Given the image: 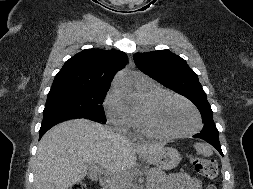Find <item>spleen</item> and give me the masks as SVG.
Returning a JSON list of instances; mask_svg holds the SVG:
<instances>
[{"instance_id":"1","label":"spleen","mask_w":253,"mask_h":189,"mask_svg":"<svg viewBox=\"0 0 253 189\" xmlns=\"http://www.w3.org/2000/svg\"><path fill=\"white\" fill-rule=\"evenodd\" d=\"M194 147L198 154H202L205 157H209L213 154V149L211 146L205 143H196Z\"/></svg>"}]
</instances>
